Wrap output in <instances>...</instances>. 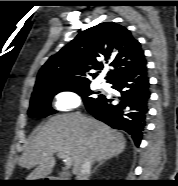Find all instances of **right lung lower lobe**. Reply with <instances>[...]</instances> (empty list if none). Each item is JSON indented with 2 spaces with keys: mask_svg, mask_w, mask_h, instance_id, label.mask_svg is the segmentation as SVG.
<instances>
[{
  "mask_svg": "<svg viewBox=\"0 0 178 186\" xmlns=\"http://www.w3.org/2000/svg\"><path fill=\"white\" fill-rule=\"evenodd\" d=\"M108 83L120 93L117 97L118 103L112 104L113 99L100 95L97 100L86 105V109L96 119L112 128L129 133L136 146H139L150 98L146 61L122 71Z\"/></svg>",
  "mask_w": 178,
  "mask_h": 186,
  "instance_id": "right-lung-lower-lobe-1",
  "label": "right lung lower lobe"
}]
</instances>
